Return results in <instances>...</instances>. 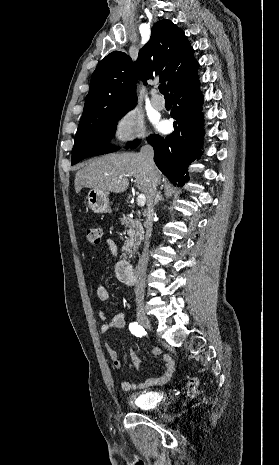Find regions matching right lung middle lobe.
I'll return each mask as SVG.
<instances>
[{
    "label": "right lung middle lobe",
    "mask_w": 279,
    "mask_h": 465,
    "mask_svg": "<svg viewBox=\"0 0 279 465\" xmlns=\"http://www.w3.org/2000/svg\"><path fill=\"white\" fill-rule=\"evenodd\" d=\"M129 110H105L90 123L79 125L74 139L72 162L74 165L89 156L111 153L117 148L108 145L117 121ZM134 143L131 144L133 146Z\"/></svg>",
    "instance_id": "obj_1"
}]
</instances>
